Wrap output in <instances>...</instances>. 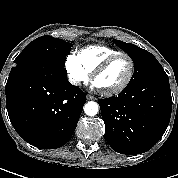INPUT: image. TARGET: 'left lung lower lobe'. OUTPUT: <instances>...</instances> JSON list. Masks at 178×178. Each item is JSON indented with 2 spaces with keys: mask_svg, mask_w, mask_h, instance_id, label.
I'll return each mask as SVG.
<instances>
[{
  "mask_svg": "<svg viewBox=\"0 0 178 178\" xmlns=\"http://www.w3.org/2000/svg\"><path fill=\"white\" fill-rule=\"evenodd\" d=\"M105 134L112 149L134 155L150 150L170 121L169 78L156 77L127 85L118 95L98 100Z\"/></svg>",
  "mask_w": 178,
  "mask_h": 178,
  "instance_id": "left-lung-lower-lobe-1",
  "label": "left lung lower lobe"
}]
</instances>
